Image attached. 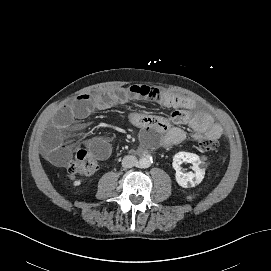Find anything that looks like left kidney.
Returning a JSON list of instances; mask_svg holds the SVG:
<instances>
[{
	"label": "left kidney",
	"mask_w": 271,
	"mask_h": 271,
	"mask_svg": "<svg viewBox=\"0 0 271 271\" xmlns=\"http://www.w3.org/2000/svg\"><path fill=\"white\" fill-rule=\"evenodd\" d=\"M189 162L193 164V172L183 173L181 171L182 162ZM201 160L197 154L189 153V152H178L173 157L172 166L176 171L175 178L177 183L183 187H195L199 183L202 182L205 176V169L201 168Z\"/></svg>",
	"instance_id": "5707ae66"
}]
</instances>
